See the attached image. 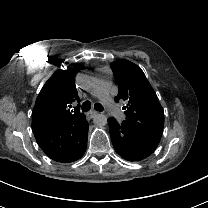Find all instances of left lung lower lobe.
Here are the masks:
<instances>
[{"label":"left lung lower lobe","mask_w":208,"mask_h":208,"mask_svg":"<svg viewBox=\"0 0 208 208\" xmlns=\"http://www.w3.org/2000/svg\"><path fill=\"white\" fill-rule=\"evenodd\" d=\"M113 147L117 154L130 162H138L151 155L158 144L134 130L127 121L118 123L108 119Z\"/></svg>","instance_id":"1"}]
</instances>
